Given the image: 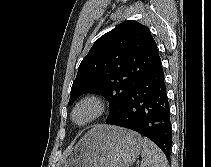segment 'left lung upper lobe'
Masks as SVG:
<instances>
[{
  "mask_svg": "<svg viewBox=\"0 0 211 167\" xmlns=\"http://www.w3.org/2000/svg\"><path fill=\"white\" fill-rule=\"evenodd\" d=\"M159 57L148 27L126 20L101 36L82 60L72 84L71 105L83 93L104 95L110 115L120 111L127 95L149 73Z\"/></svg>",
  "mask_w": 211,
  "mask_h": 167,
  "instance_id": "5c2ea615",
  "label": "left lung upper lobe"
}]
</instances>
